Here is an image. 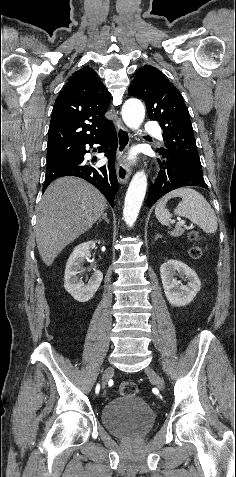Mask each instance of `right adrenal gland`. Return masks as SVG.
Returning <instances> with one entry per match:
<instances>
[{
    "label": "right adrenal gland",
    "instance_id": "obj_1",
    "mask_svg": "<svg viewBox=\"0 0 236 477\" xmlns=\"http://www.w3.org/2000/svg\"><path fill=\"white\" fill-rule=\"evenodd\" d=\"M103 219H104L107 223H109V219L107 218V213H104L103 216H102L101 218H99V222H101Z\"/></svg>",
    "mask_w": 236,
    "mask_h": 477
}]
</instances>
